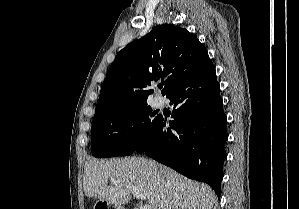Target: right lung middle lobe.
Returning a JSON list of instances; mask_svg holds the SVG:
<instances>
[{
	"label": "right lung middle lobe",
	"mask_w": 299,
	"mask_h": 209,
	"mask_svg": "<svg viewBox=\"0 0 299 209\" xmlns=\"http://www.w3.org/2000/svg\"><path fill=\"white\" fill-rule=\"evenodd\" d=\"M155 115L147 103L95 115L91 127L92 155L106 158L132 154L157 122Z\"/></svg>",
	"instance_id": "1"
}]
</instances>
